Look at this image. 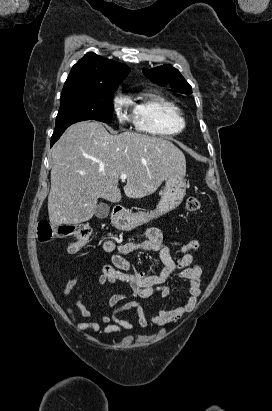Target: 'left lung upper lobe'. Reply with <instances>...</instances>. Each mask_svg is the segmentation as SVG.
Segmentation results:
<instances>
[{
    "instance_id": "left-lung-upper-lobe-1",
    "label": "left lung upper lobe",
    "mask_w": 272,
    "mask_h": 411,
    "mask_svg": "<svg viewBox=\"0 0 272 411\" xmlns=\"http://www.w3.org/2000/svg\"><path fill=\"white\" fill-rule=\"evenodd\" d=\"M144 75L158 85H170L172 89L181 93H192L191 86L186 82L180 72L171 65H163L151 70L143 69Z\"/></svg>"
}]
</instances>
